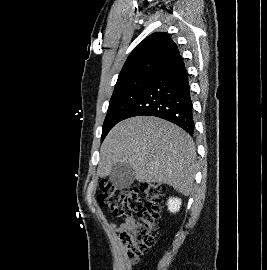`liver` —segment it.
<instances>
[{
	"label": "liver",
	"mask_w": 267,
	"mask_h": 270,
	"mask_svg": "<svg viewBox=\"0 0 267 270\" xmlns=\"http://www.w3.org/2000/svg\"><path fill=\"white\" fill-rule=\"evenodd\" d=\"M196 149L180 127L153 116H137L118 123L100 149L97 173L103 178L117 163L134 169L139 182L172 186L188 196L193 190Z\"/></svg>",
	"instance_id": "6515ba94"
}]
</instances>
